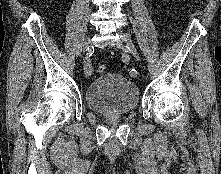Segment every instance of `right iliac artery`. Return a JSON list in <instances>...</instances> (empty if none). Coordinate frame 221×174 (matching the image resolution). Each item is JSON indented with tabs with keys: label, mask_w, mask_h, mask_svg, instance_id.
Masks as SVG:
<instances>
[{
	"label": "right iliac artery",
	"mask_w": 221,
	"mask_h": 174,
	"mask_svg": "<svg viewBox=\"0 0 221 174\" xmlns=\"http://www.w3.org/2000/svg\"><path fill=\"white\" fill-rule=\"evenodd\" d=\"M84 71H85L86 77H90L93 73V67H92L91 60L89 57H86L84 60Z\"/></svg>",
	"instance_id": "obj_1"
}]
</instances>
